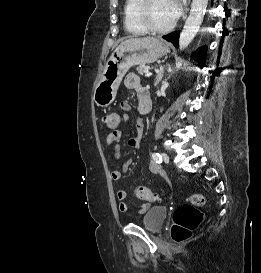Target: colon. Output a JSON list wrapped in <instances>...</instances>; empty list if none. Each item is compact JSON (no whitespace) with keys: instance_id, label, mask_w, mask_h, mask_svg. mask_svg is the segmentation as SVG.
<instances>
[{"instance_id":"colon-1","label":"colon","mask_w":261,"mask_h":273,"mask_svg":"<svg viewBox=\"0 0 261 273\" xmlns=\"http://www.w3.org/2000/svg\"><path fill=\"white\" fill-rule=\"evenodd\" d=\"M102 123L109 129H116L120 123V114L108 112L103 114ZM134 195L141 200L157 202L160 197L157 192L147 187L137 185L133 188ZM206 198L202 194H192L188 197V202L178 207L174 213V225L171 230L172 238L177 242H182L190 237L192 231L198 227L203 220V214L196 206H203Z\"/></svg>"}]
</instances>
